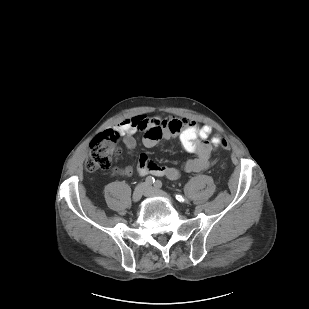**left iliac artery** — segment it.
I'll list each match as a JSON object with an SVG mask.
<instances>
[{
    "mask_svg": "<svg viewBox=\"0 0 309 309\" xmlns=\"http://www.w3.org/2000/svg\"><path fill=\"white\" fill-rule=\"evenodd\" d=\"M155 188H161L163 186L162 182L160 180H156L154 183ZM175 198L179 201V202H187L188 199L183 196L182 194L179 193H175L174 194Z\"/></svg>",
    "mask_w": 309,
    "mask_h": 309,
    "instance_id": "1",
    "label": "left iliac artery"
}]
</instances>
